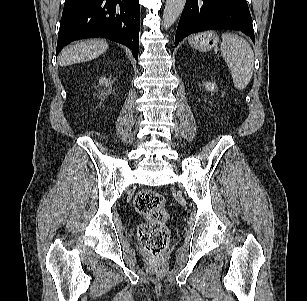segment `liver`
Here are the masks:
<instances>
[{
	"label": "liver",
	"mask_w": 307,
	"mask_h": 301,
	"mask_svg": "<svg viewBox=\"0 0 307 301\" xmlns=\"http://www.w3.org/2000/svg\"><path fill=\"white\" fill-rule=\"evenodd\" d=\"M107 49L108 44L103 39H90L75 42L61 51L59 64L61 66H67L89 61L103 54Z\"/></svg>",
	"instance_id": "6515ba94"
}]
</instances>
